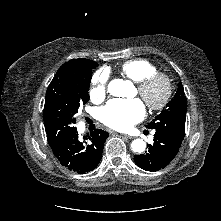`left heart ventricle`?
Segmentation results:
<instances>
[{"label": "left heart ventricle", "mask_w": 221, "mask_h": 221, "mask_svg": "<svg viewBox=\"0 0 221 221\" xmlns=\"http://www.w3.org/2000/svg\"><path fill=\"white\" fill-rule=\"evenodd\" d=\"M161 94H162V86L161 85H156L152 89L150 96H151L152 99L157 100V99L160 98Z\"/></svg>", "instance_id": "obj_1"}]
</instances>
